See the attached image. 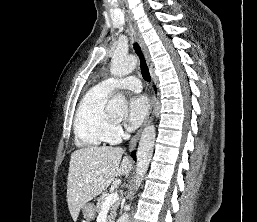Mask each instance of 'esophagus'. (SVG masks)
<instances>
[{
	"instance_id": "34e87169",
	"label": "esophagus",
	"mask_w": 257,
	"mask_h": 222,
	"mask_svg": "<svg viewBox=\"0 0 257 222\" xmlns=\"http://www.w3.org/2000/svg\"><path fill=\"white\" fill-rule=\"evenodd\" d=\"M129 21H130V23L132 25L133 31H134V33L136 35V38H137V40H138V42H139V44L141 46V49H142V51H143V53L145 55V59H146L147 63L149 64L150 63V55H149L148 48H147V46L145 44V41H144V39L142 37V34H141V32H140L136 22L132 18H129ZM155 109H156V102H155V99L153 98L152 102H151L150 110L148 112V115H147V117H146L142 127L137 131V133L132 137V139L130 141V144H129L130 150H132V149H134L136 147L137 142H138V140L140 138V135L142 133L143 128L153 120L154 114H155Z\"/></svg>"
}]
</instances>
